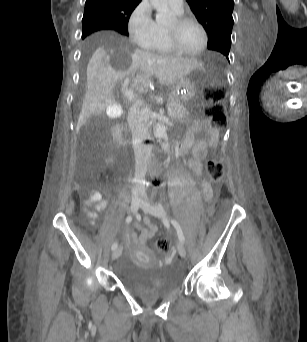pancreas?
Listing matches in <instances>:
<instances>
[{
  "label": "pancreas",
  "instance_id": "1",
  "mask_svg": "<svg viewBox=\"0 0 307 342\" xmlns=\"http://www.w3.org/2000/svg\"><path fill=\"white\" fill-rule=\"evenodd\" d=\"M179 95L178 94H171L169 96V102L170 104H175V106H173L174 110L173 112H169V116L170 118H177V120H179V118H184L187 116V111L185 106H179V104H177L178 100H179Z\"/></svg>",
  "mask_w": 307,
  "mask_h": 342
}]
</instances>
